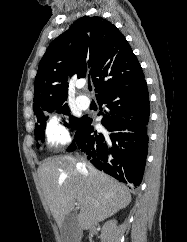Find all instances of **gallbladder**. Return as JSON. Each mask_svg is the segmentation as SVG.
Returning <instances> with one entry per match:
<instances>
[{
    "instance_id": "1",
    "label": "gallbladder",
    "mask_w": 187,
    "mask_h": 242,
    "mask_svg": "<svg viewBox=\"0 0 187 242\" xmlns=\"http://www.w3.org/2000/svg\"><path fill=\"white\" fill-rule=\"evenodd\" d=\"M61 242H77L79 228L76 214L67 215L61 225Z\"/></svg>"
}]
</instances>
